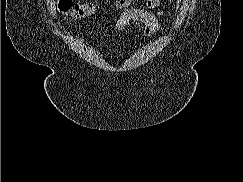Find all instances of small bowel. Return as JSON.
I'll list each match as a JSON object with an SVG mask.
<instances>
[{
	"label": "small bowel",
	"instance_id": "1",
	"mask_svg": "<svg viewBox=\"0 0 243 182\" xmlns=\"http://www.w3.org/2000/svg\"><path fill=\"white\" fill-rule=\"evenodd\" d=\"M160 0H146V7H133L126 9L115 21L114 29L123 31L131 23H139L144 28L146 36L153 35L160 30L159 18L162 11L152 12L159 7Z\"/></svg>",
	"mask_w": 243,
	"mask_h": 182
}]
</instances>
